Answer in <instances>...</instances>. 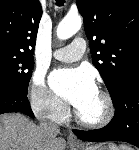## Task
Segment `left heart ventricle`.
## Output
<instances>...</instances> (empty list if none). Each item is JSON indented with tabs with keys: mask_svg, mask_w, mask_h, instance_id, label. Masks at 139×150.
<instances>
[{
	"mask_svg": "<svg viewBox=\"0 0 139 150\" xmlns=\"http://www.w3.org/2000/svg\"><path fill=\"white\" fill-rule=\"evenodd\" d=\"M82 118L88 121H97L105 114V104L102 97L96 92L92 97L77 107Z\"/></svg>",
	"mask_w": 139,
	"mask_h": 150,
	"instance_id": "b2bd125f",
	"label": "left heart ventricle"
}]
</instances>
